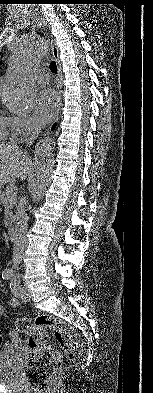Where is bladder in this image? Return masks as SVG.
<instances>
[{"mask_svg":"<svg viewBox=\"0 0 153 393\" xmlns=\"http://www.w3.org/2000/svg\"><path fill=\"white\" fill-rule=\"evenodd\" d=\"M21 365L15 359V350L12 347L0 350V381L16 384Z\"/></svg>","mask_w":153,"mask_h":393,"instance_id":"1","label":"bladder"}]
</instances>
